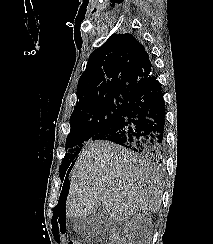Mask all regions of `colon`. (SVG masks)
Returning a JSON list of instances; mask_svg holds the SVG:
<instances>
[{
	"label": "colon",
	"instance_id": "1",
	"mask_svg": "<svg viewBox=\"0 0 213 244\" xmlns=\"http://www.w3.org/2000/svg\"><path fill=\"white\" fill-rule=\"evenodd\" d=\"M66 244H78V243L75 242V241L70 240V241H67Z\"/></svg>",
	"mask_w": 213,
	"mask_h": 244
}]
</instances>
